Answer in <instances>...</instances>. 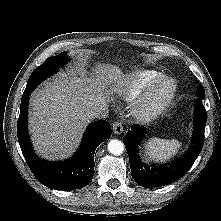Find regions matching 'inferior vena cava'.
Masks as SVG:
<instances>
[{
	"instance_id": "1",
	"label": "inferior vena cava",
	"mask_w": 221,
	"mask_h": 221,
	"mask_svg": "<svg viewBox=\"0 0 221 221\" xmlns=\"http://www.w3.org/2000/svg\"><path fill=\"white\" fill-rule=\"evenodd\" d=\"M108 107L106 104L94 106L90 111L91 118L105 119L108 116Z\"/></svg>"
}]
</instances>
